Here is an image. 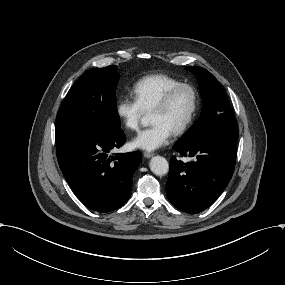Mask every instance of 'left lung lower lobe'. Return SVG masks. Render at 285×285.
<instances>
[{"mask_svg":"<svg viewBox=\"0 0 285 285\" xmlns=\"http://www.w3.org/2000/svg\"><path fill=\"white\" fill-rule=\"evenodd\" d=\"M237 126L214 129L185 146L173 149L181 156L196 157L184 163L170 159L167 195L177 209L195 214L207 209L230 181L236 162Z\"/></svg>","mask_w":285,"mask_h":285,"instance_id":"left-lung-lower-lobe-1","label":"left lung lower lobe"}]
</instances>
